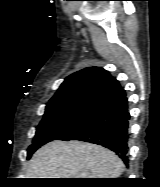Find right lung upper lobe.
Returning <instances> with one entry per match:
<instances>
[{
    "label": "right lung upper lobe",
    "mask_w": 160,
    "mask_h": 187,
    "mask_svg": "<svg viewBox=\"0 0 160 187\" xmlns=\"http://www.w3.org/2000/svg\"><path fill=\"white\" fill-rule=\"evenodd\" d=\"M120 89L119 82L106 70L88 67L67 77L46 108L77 102L97 104Z\"/></svg>",
    "instance_id": "cb5924a9"
}]
</instances>
